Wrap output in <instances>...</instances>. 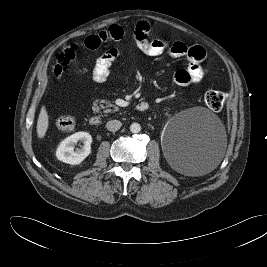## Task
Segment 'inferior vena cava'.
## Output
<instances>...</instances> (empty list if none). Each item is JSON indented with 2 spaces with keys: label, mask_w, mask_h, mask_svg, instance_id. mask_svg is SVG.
I'll return each instance as SVG.
<instances>
[{
  "label": "inferior vena cava",
  "mask_w": 267,
  "mask_h": 267,
  "mask_svg": "<svg viewBox=\"0 0 267 267\" xmlns=\"http://www.w3.org/2000/svg\"><path fill=\"white\" fill-rule=\"evenodd\" d=\"M121 126H122V123L118 120H111V121H108L106 124L107 130L112 131V132L119 130Z\"/></svg>",
  "instance_id": "obj_1"
}]
</instances>
